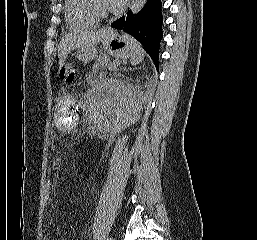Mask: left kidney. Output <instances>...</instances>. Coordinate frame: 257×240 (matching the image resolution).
<instances>
[{"mask_svg":"<svg viewBox=\"0 0 257 240\" xmlns=\"http://www.w3.org/2000/svg\"><path fill=\"white\" fill-rule=\"evenodd\" d=\"M94 104L99 124L113 133L134 123L141 110L133 86L117 79L99 84Z\"/></svg>","mask_w":257,"mask_h":240,"instance_id":"1","label":"left kidney"}]
</instances>
